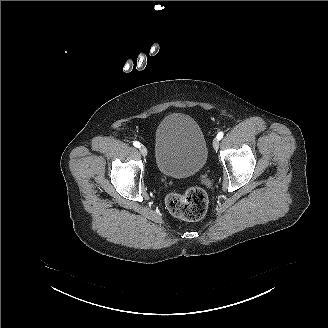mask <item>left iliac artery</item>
<instances>
[{
    "label": "left iliac artery",
    "instance_id": "44dca946",
    "mask_svg": "<svg viewBox=\"0 0 328 328\" xmlns=\"http://www.w3.org/2000/svg\"><path fill=\"white\" fill-rule=\"evenodd\" d=\"M223 138V132H219L218 134H217V139L218 140H221Z\"/></svg>",
    "mask_w": 328,
    "mask_h": 328
}]
</instances>
